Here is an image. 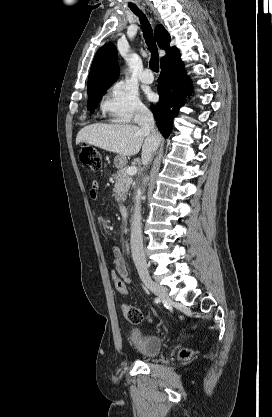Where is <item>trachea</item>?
I'll return each instance as SVG.
<instances>
[{
	"instance_id": "1",
	"label": "trachea",
	"mask_w": 272,
	"mask_h": 417,
	"mask_svg": "<svg viewBox=\"0 0 272 417\" xmlns=\"http://www.w3.org/2000/svg\"><path fill=\"white\" fill-rule=\"evenodd\" d=\"M130 8L136 15L140 17L144 38H145V41L149 50L151 51V59H150L149 67L152 71L158 72L159 71L158 49H157L155 39L153 37L151 25L149 24L145 15L142 14V12L136 6H132Z\"/></svg>"
}]
</instances>
